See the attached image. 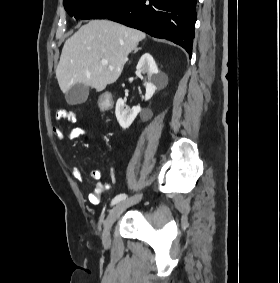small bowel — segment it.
I'll use <instances>...</instances> for the list:
<instances>
[{
  "instance_id": "c3829d8e",
  "label": "small bowel",
  "mask_w": 280,
  "mask_h": 283,
  "mask_svg": "<svg viewBox=\"0 0 280 283\" xmlns=\"http://www.w3.org/2000/svg\"><path fill=\"white\" fill-rule=\"evenodd\" d=\"M57 117L59 119H66L69 122L75 120L74 113L66 109H61L58 112ZM53 135L59 140L63 139L64 137H67L70 140H80V139H85L87 137V132L84 128L80 126L70 127L68 130H63L60 127H54ZM71 173L77 179L81 178L82 176V173L77 166L72 167ZM101 177H102V174L99 170H92L90 172V178L98 181L95 184L94 190L89 195V200L93 204H99L101 202L103 194L108 192L111 189L110 183L99 182Z\"/></svg>"
}]
</instances>
